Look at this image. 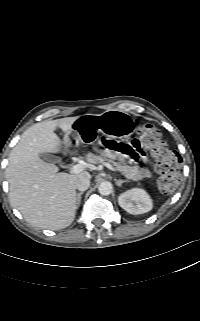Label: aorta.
Masks as SVG:
<instances>
[{"label":"aorta","instance_id":"762f6f07","mask_svg":"<svg viewBox=\"0 0 200 321\" xmlns=\"http://www.w3.org/2000/svg\"><path fill=\"white\" fill-rule=\"evenodd\" d=\"M112 188V184L110 182L105 181L99 185L98 190L101 195L107 196L111 194Z\"/></svg>","mask_w":200,"mask_h":321}]
</instances>
